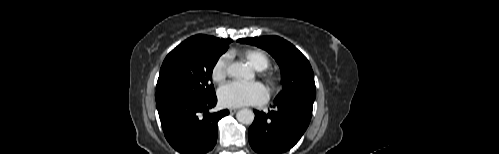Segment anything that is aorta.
Returning a JSON list of instances; mask_svg holds the SVG:
<instances>
[{"mask_svg": "<svg viewBox=\"0 0 499 154\" xmlns=\"http://www.w3.org/2000/svg\"><path fill=\"white\" fill-rule=\"evenodd\" d=\"M228 75L237 79L252 80L255 76L254 71L247 64L232 63L227 68ZM254 112L250 109L239 110L236 118L239 122L250 125L254 121Z\"/></svg>", "mask_w": 499, "mask_h": 154, "instance_id": "762f6f07", "label": "aorta"}]
</instances>
